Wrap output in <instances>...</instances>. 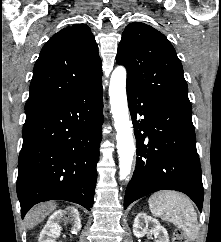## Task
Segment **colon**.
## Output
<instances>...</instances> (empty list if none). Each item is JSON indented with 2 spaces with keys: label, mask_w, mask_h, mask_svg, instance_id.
<instances>
[{
  "label": "colon",
  "mask_w": 221,
  "mask_h": 242,
  "mask_svg": "<svg viewBox=\"0 0 221 242\" xmlns=\"http://www.w3.org/2000/svg\"><path fill=\"white\" fill-rule=\"evenodd\" d=\"M172 242H189V239L183 231L175 230L173 232Z\"/></svg>",
  "instance_id": "obj_1"
}]
</instances>
